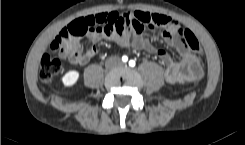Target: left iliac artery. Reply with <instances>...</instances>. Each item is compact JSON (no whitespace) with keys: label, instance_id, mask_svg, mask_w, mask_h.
<instances>
[{"label":"left iliac artery","instance_id":"1","mask_svg":"<svg viewBox=\"0 0 245 145\" xmlns=\"http://www.w3.org/2000/svg\"><path fill=\"white\" fill-rule=\"evenodd\" d=\"M129 66L134 67V66H135V61L130 60V61H129Z\"/></svg>","mask_w":245,"mask_h":145}]
</instances>
